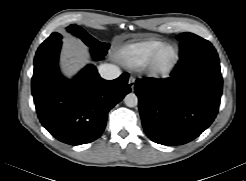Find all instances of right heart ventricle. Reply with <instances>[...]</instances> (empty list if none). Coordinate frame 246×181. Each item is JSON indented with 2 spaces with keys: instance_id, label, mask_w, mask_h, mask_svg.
<instances>
[{
  "instance_id": "right-heart-ventricle-1",
  "label": "right heart ventricle",
  "mask_w": 246,
  "mask_h": 181,
  "mask_svg": "<svg viewBox=\"0 0 246 181\" xmlns=\"http://www.w3.org/2000/svg\"><path fill=\"white\" fill-rule=\"evenodd\" d=\"M164 42L157 38H146L129 43L120 48L117 59L126 66L137 67L144 64Z\"/></svg>"
}]
</instances>
